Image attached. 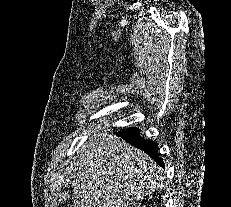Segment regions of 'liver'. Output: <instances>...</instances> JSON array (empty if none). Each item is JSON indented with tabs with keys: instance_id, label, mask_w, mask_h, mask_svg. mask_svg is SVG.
<instances>
[{
	"instance_id": "liver-1",
	"label": "liver",
	"mask_w": 231,
	"mask_h": 207,
	"mask_svg": "<svg viewBox=\"0 0 231 207\" xmlns=\"http://www.w3.org/2000/svg\"><path fill=\"white\" fill-rule=\"evenodd\" d=\"M71 207H134L163 179L148 155L114 134L94 133L73 156Z\"/></svg>"
}]
</instances>
